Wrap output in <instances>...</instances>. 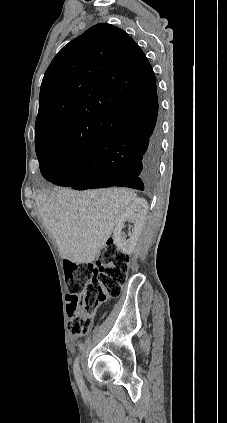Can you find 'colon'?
I'll return each instance as SVG.
<instances>
[{"instance_id": "5ec220e1", "label": "colon", "mask_w": 227, "mask_h": 423, "mask_svg": "<svg viewBox=\"0 0 227 423\" xmlns=\"http://www.w3.org/2000/svg\"><path fill=\"white\" fill-rule=\"evenodd\" d=\"M129 262V256L109 241L95 263H65L68 330L72 335L86 333L99 304L120 295Z\"/></svg>"}]
</instances>
